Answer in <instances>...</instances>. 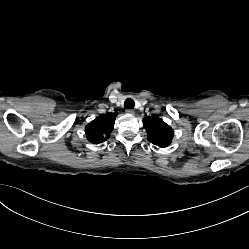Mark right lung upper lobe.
<instances>
[{"label": "right lung upper lobe", "instance_id": "cb5924a9", "mask_svg": "<svg viewBox=\"0 0 249 249\" xmlns=\"http://www.w3.org/2000/svg\"><path fill=\"white\" fill-rule=\"evenodd\" d=\"M116 116L117 113L109 112L90 122L85 128L87 139L93 144H98L107 140L109 134L114 129Z\"/></svg>", "mask_w": 249, "mask_h": 249}]
</instances>
